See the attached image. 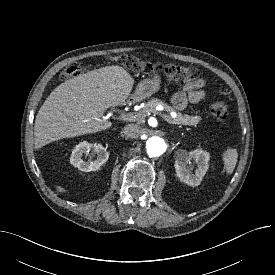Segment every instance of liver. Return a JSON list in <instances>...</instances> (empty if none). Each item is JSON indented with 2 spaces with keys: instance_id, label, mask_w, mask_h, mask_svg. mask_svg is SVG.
<instances>
[{
  "instance_id": "1",
  "label": "liver",
  "mask_w": 275,
  "mask_h": 275,
  "mask_svg": "<svg viewBox=\"0 0 275 275\" xmlns=\"http://www.w3.org/2000/svg\"><path fill=\"white\" fill-rule=\"evenodd\" d=\"M134 79L120 66H106L57 86L39 109L34 144L39 149L63 138L96 133L112 126L102 119L106 109L130 96Z\"/></svg>"
}]
</instances>
